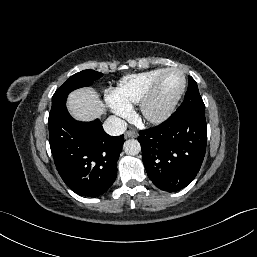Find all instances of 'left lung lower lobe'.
<instances>
[{"instance_id":"0a47b994","label":"left lung lower lobe","mask_w":257,"mask_h":257,"mask_svg":"<svg viewBox=\"0 0 257 257\" xmlns=\"http://www.w3.org/2000/svg\"><path fill=\"white\" fill-rule=\"evenodd\" d=\"M138 140L153 184L167 192L181 190L196 177L205 156V110H176L160 125L140 131Z\"/></svg>"}]
</instances>
